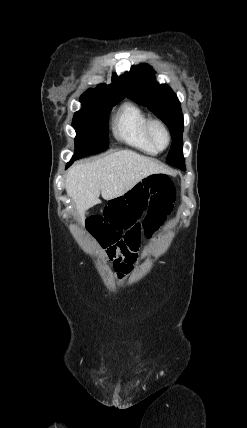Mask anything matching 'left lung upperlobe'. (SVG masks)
<instances>
[{"label": "left lung upper lobe", "mask_w": 247, "mask_h": 428, "mask_svg": "<svg viewBox=\"0 0 247 428\" xmlns=\"http://www.w3.org/2000/svg\"><path fill=\"white\" fill-rule=\"evenodd\" d=\"M126 96L140 105L147 106L169 128L172 135L167 163L185 165L182 154L184 120L180 102L167 84H158L147 64L133 67L120 77Z\"/></svg>", "instance_id": "obj_1"}]
</instances>
